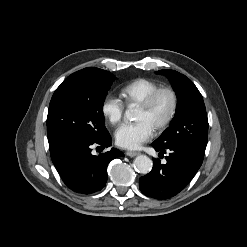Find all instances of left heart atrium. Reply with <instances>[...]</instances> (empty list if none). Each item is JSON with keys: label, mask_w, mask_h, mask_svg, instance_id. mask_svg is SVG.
<instances>
[{"label": "left heart atrium", "mask_w": 247, "mask_h": 247, "mask_svg": "<svg viewBox=\"0 0 247 247\" xmlns=\"http://www.w3.org/2000/svg\"><path fill=\"white\" fill-rule=\"evenodd\" d=\"M153 127L144 120L125 123L115 132L116 143L125 149H136L153 135Z\"/></svg>", "instance_id": "left-heart-atrium-1"}]
</instances>
